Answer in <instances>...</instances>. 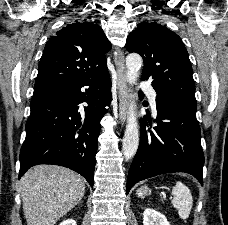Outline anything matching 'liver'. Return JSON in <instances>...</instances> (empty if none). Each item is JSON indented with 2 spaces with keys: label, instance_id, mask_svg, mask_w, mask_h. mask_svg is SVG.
I'll list each match as a JSON object with an SVG mask.
<instances>
[{
  "label": "liver",
  "instance_id": "6515ba94",
  "mask_svg": "<svg viewBox=\"0 0 228 225\" xmlns=\"http://www.w3.org/2000/svg\"><path fill=\"white\" fill-rule=\"evenodd\" d=\"M20 187L27 225H56L85 193L80 175L55 165L32 167L22 177Z\"/></svg>",
  "mask_w": 228,
  "mask_h": 225
}]
</instances>
